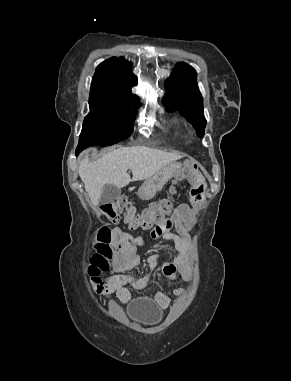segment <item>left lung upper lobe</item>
Masks as SVG:
<instances>
[{"instance_id":"5c2ea615","label":"left lung upper lobe","mask_w":291,"mask_h":381,"mask_svg":"<svg viewBox=\"0 0 291 381\" xmlns=\"http://www.w3.org/2000/svg\"><path fill=\"white\" fill-rule=\"evenodd\" d=\"M196 71L186 63L175 66L166 81L164 104L170 112L179 110L192 123L197 135L202 137L206 126L203 98L198 89Z\"/></svg>"}]
</instances>
